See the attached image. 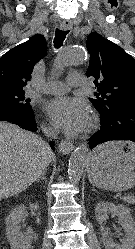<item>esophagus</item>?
Instances as JSON below:
<instances>
[{
	"label": "esophagus",
	"mask_w": 135,
	"mask_h": 249,
	"mask_svg": "<svg viewBox=\"0 0 135 249\" xmlns=\"http://www.w3.org/2000/svg\"><path fill=\"white\" fill-rule=\"evenodd\" d=\"M60 28L62 30H70V29H72V23L69 20H65L60 24ZM73 147H74V145L70 141H61L59 143V146H58L59 151L62 154L70 153L72 151Z\"/></svg>",
	"instance_id": "esophagus-1"
}]
</instances>
